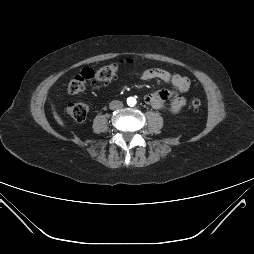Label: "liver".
<instances>
[{"label":"liver","mask_w":254,"mask_h":254,"mask_svg":"<svg viewBox=\"0 0 254 254\" xmlns=\"http://www.w3.org/2000/svg\"><path fill=\"white\" fill-rule=\"evenodd\" d=\"M53 115L57 123L61 126H64L63 120L60 118V116L57 114V112L54 109V105H52Z\"/></svg>","instance_id":"6515ba94"}]
</instances>
